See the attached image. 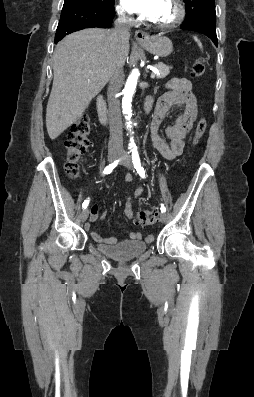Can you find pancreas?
Returning a JSON list of instances; mask_svg holds the SVG:
<instances>
[{"label":"pancreas","mask_w":254,"mask_h":397,"mask_svg":"<svg viewBox=\"0 0 254 397\" xmlns=\"http://www.w3.org/2000/svg\"><path fill=\"white\" fill-rule=\"evenodd\" d=\"M156 68L158 69V71H159V74H158V79H163V78H165L167 75H169V73H170V69L172 68V67H170V66H168V65H165V64H163V63H158L157 65H156Z\"/></svg>","instance_id":"cf45deb5"}]
</instances>
